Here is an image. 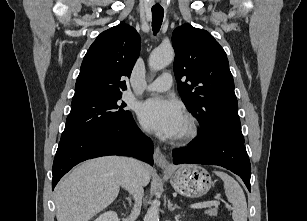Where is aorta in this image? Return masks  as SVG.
<instances>
[{
	"mask_svg": "<svg viewBox=\"0 0 307 221\" xmlns=\"http://www.w3.org/2000/svg\"><path fill=\"white\" fill-rule=\"evenodd\" d=\"M174 59V51L171 47H158L152 51L149 57V68L158 71L168 66ZM144 221H159L158 202L153 201L149 207Z\"/></svg>",
	"mask_w": 307,
	"mask_h": 221,
	"instance_id": "obj_1",
	"label": "aorta"
}]
</instances>
